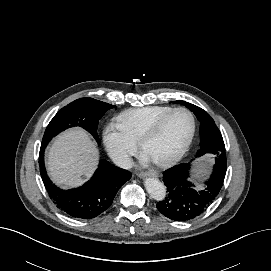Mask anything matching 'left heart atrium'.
<instances>
[{"mask_svg":"<svg viewBox=\"0 0 271 271\" xmlns=\"http://www.w3.org/2000/svg\"><path fill=\"white\" fill-rule=\"evenodd\" d=\"M143 160H144L145 162H149V161L151 160V158L149 157V155H148L147 153H144V155H143Z\"/></svg>","mask_w":271,"mask_h":271,"instance_id":"39dd6f15","label":"left heart atrium"}]
</instances>
